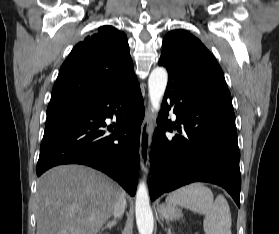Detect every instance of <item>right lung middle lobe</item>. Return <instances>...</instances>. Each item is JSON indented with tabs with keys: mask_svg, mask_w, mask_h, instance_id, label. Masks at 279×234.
I'll return each mask as SVG.
<instances>
[{
	"mask_svg": "<svg viewBox=\"0 0 279 234\" xmlns=\"http://www.w3.org/2000/svg\"><path fill=\"white\" fill-rule=\"evenodd\" d=\"M68 107H53V108H47V114L53 113V112H57L59 110L65 109Z\"/></svg>",
	"mask_w": 279,
	"mask_h": 234,
	"instance_id": "dd1d6c3e",
	"label": "right lung middle lobe"
}]
</instances>
